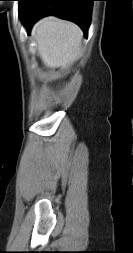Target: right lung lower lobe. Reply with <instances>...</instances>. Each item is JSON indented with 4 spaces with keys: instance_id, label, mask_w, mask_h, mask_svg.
I'll list each match as a JSON object with an SVG mask.
<instances>
[{
    "instance_id": "98d812e1",
    "label": "right lung lower lobe",
    "mask_w": 133,
    "mask_h": 253,
    "mask_svg": "<svg viewBox=\"0 0 133 253\" xmlns=\"http://www.w3.org/2000/svg\"><path fill=\"white\" fill-rule=\"evenodd\" d=\"M94 0H29L21 14L22 22L30 33L33 24L40 18L55 15L75 22L85 36L90 25L92 2Z\"/></svg>"
}]
</instances>
